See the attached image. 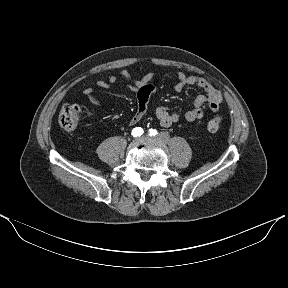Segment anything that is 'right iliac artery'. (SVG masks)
Segmentation results:
<instances>
[{"label":"right iliac artery","instance_id":"obj_1","mask_svg":"<svg viewBox=\"0 0 288 288\" xmlns=\"http://www.w3.org/2000/svg\"><path fill=\"white\" fill-rule=\"evenodd\" d=\"M143 129L142 128H140V127H137V128H134L133 130H132V135L134 136V137H137V136H141L142 134H143Z\"/></svg>","mask_w":288,"mask_h":288}]
</instances>
